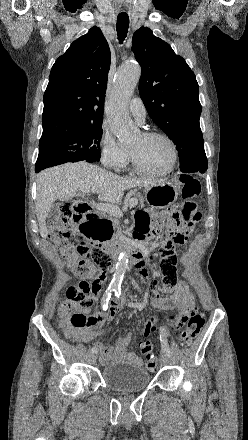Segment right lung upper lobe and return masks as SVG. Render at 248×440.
Here are the masks:
<instances>
[{
  "label": "right lung upper lobe",
  "instance_id": "right-lung-upper-lobe-1",
  "mask_svg": "<svg viewBox=\"0 0 248 440\" xmlns=\"http://www.w3.org/2000/svg\"><path fill=\"white\" fill-rule=\"evenodd\" d=\"M110 50L91 28L54 63L44 93L42 136L102 124Z\"/></svg>",
  "mask_w": 248,
  "mask_h": 440
}]
</instances>
